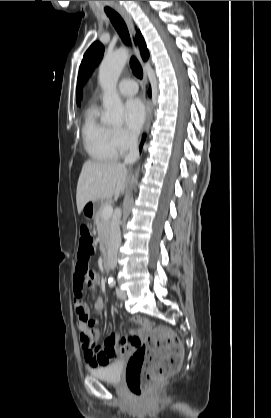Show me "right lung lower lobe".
I'll return each mask as SVG.
<instances>
[{
  "instance_id": "obj_1",
  "label": "right lung lower lobe",
  "mask_w": 271,
  "mask_h": 418,
  "mask_svg": "<svg viewBox=\"0 0 271 418\" xmlns=\"http://www.w3.org/2000/svg\"><path fill=\"white\" fill-rule=\"evenodd\" d=\"M143 141H144V137H143V140H142L141 146H142V144H143Z\"/></svg>"
}]
</instances>
